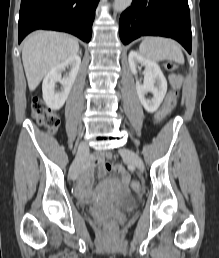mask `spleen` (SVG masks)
<instances>
[{
  "instance_id": "1",
  "label": "spleen",
  "mask_w": 219,
  "mask_h": 258,
  "mask_svg": "<svg viewBox=\"0 0 219 258\" xmlns=\"http://www.w3.org/2000/svg\"><path fill=\"white\" fill-rule=\"evenodd\" d=\"M140 54L151 61L171 60L184 63L181 47L173 40L163 37H146L139 47Z\"/></svg>"
}]
</instances>
